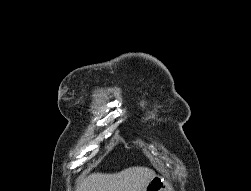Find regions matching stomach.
Segmentation results:
<instances>
[{
    "mask_svg": "<svg viewBox=\"0 0 251 191\" xmlns=\"http://www.w3.org/2000/svg\"><path fill=\"white\" fill-rule=\"evenodd\" d=\"M145 191H173V189L162 177L154 175V177L148 181Z\"/></svg>",
    "mask_w": 251,
    "mask_h": 191,
    "instance_id": "1",
    "label": "stomach"
}]
</instances>
